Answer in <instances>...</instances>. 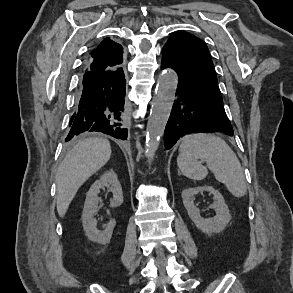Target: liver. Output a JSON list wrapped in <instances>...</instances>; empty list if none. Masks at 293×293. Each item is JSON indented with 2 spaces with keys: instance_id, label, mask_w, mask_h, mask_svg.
<instances>
[{
  "instance_id": "obj_1",
  "label": "liver",
  "mask_w": 293,
  "mask_h": 293,
  "mask_svg": "<svg viewBox=\"0 0 293 293\" xmlns=\"http://www.w3.org/2000/svg\"><path fill=\"white\" fill-rule=\"evenodd\" d=\"M111 146L105 138L90 137L79 141L61 162L57 174V211L64 217L83 183L110 159Z\"/></svg>"
}]
</instances>
